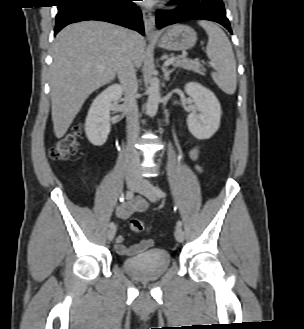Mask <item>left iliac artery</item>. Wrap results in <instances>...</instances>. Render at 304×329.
<instances>
[{"instance_id": "44dca946", "label": "left iliac artery", "mask_w": 304, "mask_h": 329, "mask_svg": "<svg viewBox=\"0 0 304 329\" xmlns=\"http://www.w3.org/2000/svg\"><path fill=\"white\" fill-rule=\"evenodd\" d=\"M155 192L157 194L158 197H165L166 196V193L164 191H162L160 188L158 187H155ZM177 226L181 227L182 226V221L178 220L177 221Z\"/></svg>"}]
</instances>
